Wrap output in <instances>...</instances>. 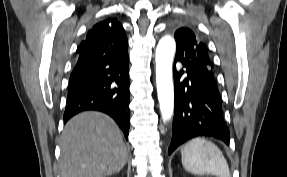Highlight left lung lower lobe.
Returning <instances> with one entry per match:
<instances>
[{
	"mask_svg": "<svg viewBox=\"0 0 287 177\" xmlns=\"http://www.w3.org/2000/svg\"><path fill=\"white\" fill-rule=\"evenodd\" d=\"M180 61L183 69L174 68V119L172 140L168 149L171 154L179 145L196 136H213L229 144V130L223 118L221 98L216 82L205 74Z\"/></svg>",
	"mask_w": 287,
	"mask_h": 177,
	"instance_id": "1",
	"label": "left lung lower lobe"
}]
</instances>
